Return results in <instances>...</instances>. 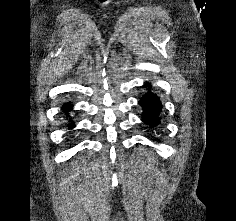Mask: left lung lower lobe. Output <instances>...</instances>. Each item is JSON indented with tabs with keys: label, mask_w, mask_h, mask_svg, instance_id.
Masks as SVG:
<instances>
[{
	"label": "left lung lower lobe",
	"mask_w": 236,
	"mask_h": 221,
	"mask_svg": "<svg viewBox=\"0 0 236 221\" xmlns=\"http://www.w3.org/2000/svg\"><path fill=\"white\" fill-rule=\"evenodd\" d=\"M144 86H148V84H145ZM148 87L149 91L140 100V104L143 107V120L147 122L151 127H155L160 122L158 113L161 109V103L159 99L150 92V86Z\"/></svg>",
	"instance_id": "obj_1"
}]
</instances>
